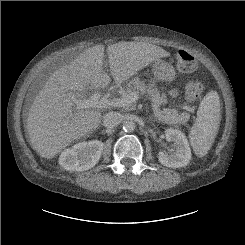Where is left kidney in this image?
Here are the masks:
<instances>
[{
	"mask_svg": "<svg viewBox=\"0 0 245 245\" xmlns=\"http://www.w3.org/2000/svg\"><path fill=\"white\" fill-rule=\"evenodd\" d=\"M166 140L174 143L175 150L168 155L166 152H159V162L171 168L186 166L191 160V150L188 140L180 130L169 128L165 130Z\"/></svg>",
	"mask_w": 245,
	"mask_h": 245,
	"instance_id": "obj_1",
	"label": "left kidney"
}]
</instances>
